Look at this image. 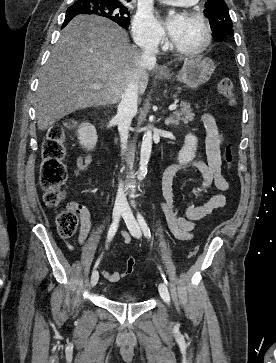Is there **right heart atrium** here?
<instances>
[{"instance_id": "1", "label": "right heart atrium", "mask_w": 276, "mask_h": 363, "mask_svg": "<svg viewBox=\"0 0 276 363\" xmlns=\"http://www.w3.org/2000/svg\"><path fill=\"white\" fill-rule=\"evenodd\" d=\"M133 35L136 42L147 48H157L165 40L162 27L150 10H140L133 21Z\"/></svg>"}]
</instances>
